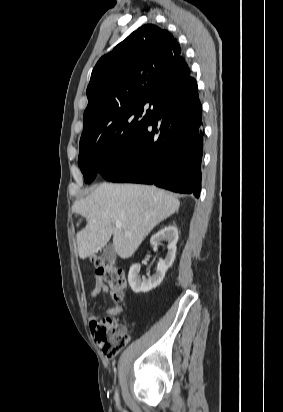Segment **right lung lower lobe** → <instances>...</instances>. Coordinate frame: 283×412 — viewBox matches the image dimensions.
Here are the masks:
<instances>
[{"label": "right lung lower lobe", "mask_w": 283, "mask_h": 412, "mask_svg": "<svg viewBox=\"0 0 283 412\" xmlns=\"http://www.w3.org/2000/svg\"><path fill=\"white\" fill-rule=\"evenodd\" d=\"M203 135L197 83L187 77L161 99L134 145L100 174L112 182L155 184L198 197Z\"/></svg>", "instance_id": "98d812e1"}]
</instances>
